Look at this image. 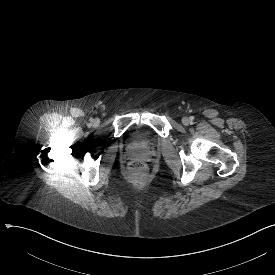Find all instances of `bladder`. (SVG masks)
Returning <instances> with one entry per match:
<instances>
[{"label": "bladder", "instance_id": "1", "mask_svg": "<svg viewBox=\"0 0 275 275\" xmlns=\"http://www.w3.org/2000/svg\"><path fill=\"white\" fill-rule=\"evenodd\" d=\"M150 140V136L147 133H141V134H137L136 130H133L130 132V135L128 137V141H131L132 144H140L143 143L145 141ZM142 148H150V146H141Z\"/></svg>", "mask_w": 275, "mask_h": 275}]
</instances>
